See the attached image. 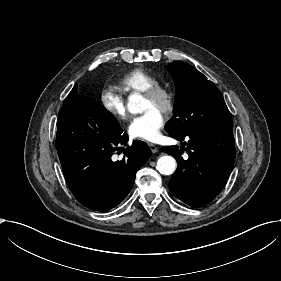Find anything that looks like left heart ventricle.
I'll use <instances>...</instances> for the list:
<instances>
[{
	"label": "left heart ventricle",
	"instance_id": "left-heart-ventricle-1",
	"mask_svg": "<svg viewBox=\"0 0 281 281\" xmlns=\"http://www.w3.org/2000/svg\"><path fill=\"white\" fill-rule=\"evenodd\" d=\"M148 109H156V108L154 106H152L151 103L147 99L144 98L143 105H142V112L147 111ZM156 110H158V109H156Z\"/></svg>",
	"mask_w": 281,
	"mask_h": 281
}]
</instances>
